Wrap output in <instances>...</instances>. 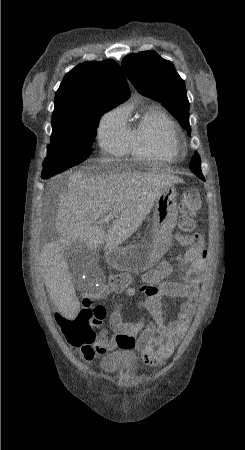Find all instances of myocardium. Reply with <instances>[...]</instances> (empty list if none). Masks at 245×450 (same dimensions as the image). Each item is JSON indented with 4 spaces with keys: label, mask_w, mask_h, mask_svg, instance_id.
Wrapping results in <instances>:
<instances>
[{
    "label": "myocardium",
    "mask_w": 245,
    "mask_h": 450,
    "mask_svg": "<svg viewBox=\"0 0 245 450\" xmlns=\"http://www.w3.org/2000/svg\"><path fill=\"white\" fill-rule=\"evenodd\" d=\"M165 132L168 137V141L171 145L178 150L179 149V141L177 137V130L174 124L170 120H166L165 122Z\"/></svg>",
    "instance_id": "obj_1"
}]
</instances>
